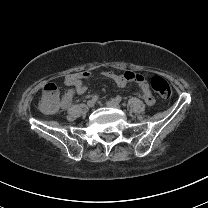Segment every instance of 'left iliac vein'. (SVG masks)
Wrapping results in <instances>:
<instances>
[{
    "mask_svg": "<svg viewBox=\"0 0 208 208\" xmlns=\"http://www.w3.org/2000/svg\"><path fill=\"white\" fill-rule=\"evenodd\" d=\"M105 104L108 107H112V108H120L121 107L120 104L114 99L106 101Z\"/></svg>",
    "mask_w": 208,
    "mask_h": 208,
    "instance_id": "1",
    "label": "left iliac vein"
}]
</instances>
